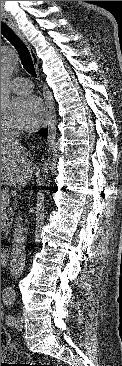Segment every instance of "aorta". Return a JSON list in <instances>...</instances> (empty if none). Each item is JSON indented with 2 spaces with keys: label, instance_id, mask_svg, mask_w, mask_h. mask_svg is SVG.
Instances as JSON below:
<instances>
[{
  "label": "aorta",
  "instance_id": "1",
  "mask_svg": "<svg viewBox=\"0 0 122 366\" xmlns=\"http://www.w3.org/2000/svg\"><path fill=\"white\" fill-rule=\"evenodd\" d=\"M19 63L18 55L8 46L1 47V111L4 112L10 100V81Z\"/></svg>",
  "mask_w": 122,
  "mask_h": 366
}]
</instances>
